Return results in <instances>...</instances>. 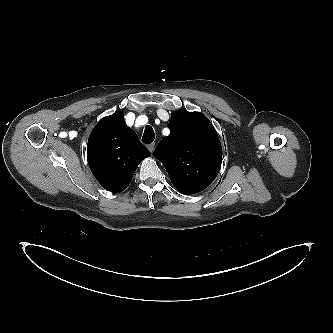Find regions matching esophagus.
<instances>
[{"mask_svg":"<svg viewBox=\"0 0 333 333\" xmlns=\"http://www.w3.org/2000/svg\"><path fill=\"white\" fill-rule=\"evenodd\" d=\"M154 148H155V143H152V144L148 145V149L151 153L154 151Z\"/></svg>","mask_w":333,"mask_h":333,"instance_id":"obj_1","label":"esophagus"}]
</instances>
